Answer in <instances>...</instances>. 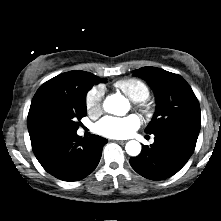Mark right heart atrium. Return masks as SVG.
Here are the masks:
<instances>
[{"mask_svg": "<svg viewBox=\"0 0 221 221\" xmlns=\"http://www.w3.org/2000/svg\"><path fill=\"white\" fill-rule=\"evenodd\" d=\"M103 94L102 86H95L88 91L85 105L89 114L96 115L101 112Z\"/></svg>", "mask_w": 221, "mask_h": 221, "instance_id": "obj_1", "label": "right heart atrium"}]
</instances>
